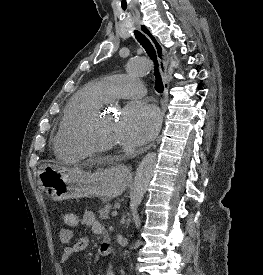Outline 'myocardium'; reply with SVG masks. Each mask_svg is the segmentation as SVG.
I'll return each instance as SVG.
<instances>
[{"instance_id":"myocardium-1","label":"myocardium","mask_w":263,"mask_h":275,"mask_svg":"<svg viewBox=\"0 0 263 275\" xmlns=\"http://www.w3.org/2000/svg\"><path fill=\"white\" fill-rule=\"evenodd\" d=\"M105 112L106 108L102 105L88 114L71 132L74 142L91 154L110 152L119 147L116 143L103 142L97 136L99 121Z\"/></svg>"}]
</instances>
